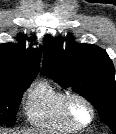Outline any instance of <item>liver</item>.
<instances>
[{"mask_svg": "<svg viewBox=\"0 0 116 134\" xmlns=\"http://www.w3.org/2000/svg\"><path fill=\"white\" fill-rule=\"evenodd\" d=\"M0 134H38L37 132H31V131H27V132H23V133H16V132H14V133H8V132H1L0 131Z\"/></svg>", "mask_w": 116, "mask_h": 134, "instance_id": "liver-1", "label": "liver"}]
</instances>
